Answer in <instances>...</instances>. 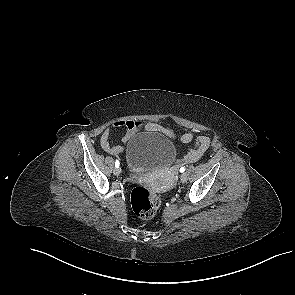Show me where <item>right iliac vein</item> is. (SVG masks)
<instances>
[{
	"label": "right iliac vein",
	"mask_w": 295,
	"mask_h": 295,
	"mask_svg": "<svg viewBox=\"0 0 295 295\" xmlns=\"http://www.w3.org/2000/svg\"><path fill=\"white\" fill-rule=\"evenodd\" d=\"M113 173L114 175L119 176L121 174V168L115 167Z\"/></svg>",
	"instance_id": "right-iliac-vein-1"
}]
</instances>
